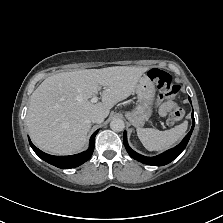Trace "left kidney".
<instances>
[{"label":"left kidney","instance_id":"1","mask_svg":"<svg viewBox=\"0 0 223 223\" xmlns=\"http://www.w3.org/2000/svg\"><path fill=\"white\" fill-rule=\"evenodd\" d=\"M132 143H133L134 148L137 149V148H138V143H137V141H136L135 139H133V140H132Z\"/></svg>","mask_w":223,"mask_h":223}]
</instances>
